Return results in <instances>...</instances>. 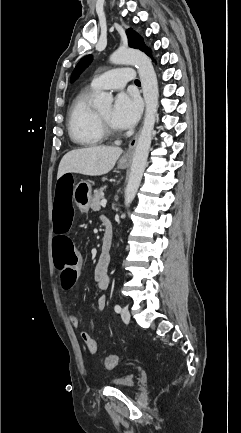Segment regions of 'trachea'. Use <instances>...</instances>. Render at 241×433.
<instances>
[{"mask_svg": "<svg viewBox=\"0 0 241 433\" xmlns=\"http://www.w3.org/2000/svg\"><path fill=\"white\" fill-rule=\"evenodd\" d=\"M136 84H140V81L138 79L135 80Z\"/></svg>", "mask_w": 241, "mask_h": 433, "instance_id": "trachea-1", "label": "trachea"}]
</instances>
